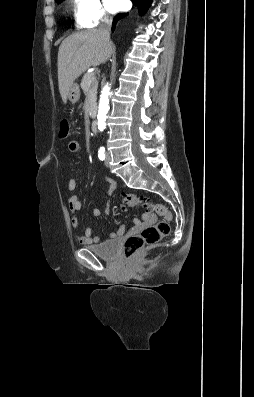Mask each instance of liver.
Masks as SVG:
<instances>
[{
  "instance_id": "1",
  "label": "liver",
  "mask_w": 254,
  "mask_h": 397,
  "mask_svg": "<svg viewBox=\"0 0 254 397\" xmlns=\"http://www.w3.org/2000/svg\"><path fill=\"white\" fill-rule=\"evenodd\" d=\"M114 47L101 38L97 29L74 33L63 40L58 51V84L63 103L70 85L89 67L107 61Z\"/></svg>"
}]
</instances>
